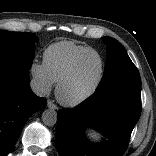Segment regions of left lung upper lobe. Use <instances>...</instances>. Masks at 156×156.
Instances as JSON below:
<instances>
[{
  "mask_svg": "<svg viewBox=\"0 0 156 156\" xmlns=\"http://www.w3.org/2000/svg\"><path fill=\"white\" fill-rule=\"evenodd\" d=\"M107 45V60L103 78L96 91L110 87H131L141 89L138 69L129 58L120 42L103 37Z\"/></svg>",
  "mask_w": 156,
  "mask_h": 156,
  "instance_id": "obj_1",
  "label": "left lung upper lobe"
}]
</instances>
